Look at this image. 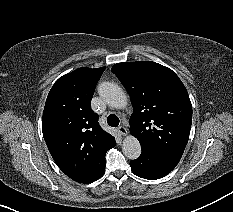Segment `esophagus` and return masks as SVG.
Segmentation results:
<instances>
[{
  "instance_id": "esophagus-1",
  "label": "esophagus",
  "mask_w": 233,
  "mask_h": 212,
  "mask_svg": "<svg viewBox=\"0 0 233 212\" xmlns=\"http://www.w3.org/2000/svg\"><path fill=\"white\" fill-rule=\"evenodd\" d=\"M118 132L123 136L127 135V133H128L127 129L124 126H119Z\"/></svg>"
}]
</instances>
